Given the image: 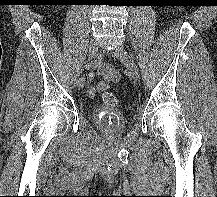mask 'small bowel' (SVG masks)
Wrapping results in <instances>:
<instances>
[{
  "mask_svg": "<svg viewBox=\"0 0 217 197\" xmlns=\"http://www.w3.org/2000/svg\"><path fill=\"white\" fill-rule=\"evenodd\" d=\"M98 74L101 80L89 87L88 95L90 97L107 90L112 83H116L120 79L119 72L109 63L101 62L98 67Z\"/></svg>",
  "mask_w": 217,
  "mask_h": 197,
  "instance_id": "c3829d8e",
  "label": "small bowel"
}]
</instances>
